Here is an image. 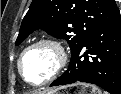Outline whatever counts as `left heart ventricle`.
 <instances>
[{
	"label": "left heart ventricle",
	"instance_id": "obj_1",
	"mask_svg": "<svg viewBox=\"0 0 121 94\" xmlns=\"http://www.w3.org/2000/svg\"><path fill=\"white\" fill-rule=\"evenodd\" d=\"M54 62V53L47 47H40L25 55L22 61V70L29 81L38 83L49 76Z\"/></svg>",
	"mask_w": 121,
	"mask_h": 94
}]
</instances>
